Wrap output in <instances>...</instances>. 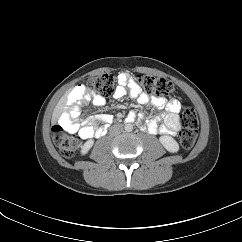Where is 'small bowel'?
Here are the masks:
<instances>
[{
    "label": "small bowel",
    "mask_w": 242,
    "mask_h": 242,
    "mask_svg": "<svg viewBox=\"0 0 242 242\" xmlns=\"http://www.w3.org/2000/svg\"><path fill=\"white\" fill-rule=\"evenodd\" d=\"M118 80L119 85L114 93L116 99H122L128 93L139 103L144 105L152 104L156 108L157 112H155L154 118L147 126L150 133L160 131L163 134L173 135L179 130L180 122L178 113L181 110V103L177 99L167 101L162 97L150 96L142 92L140 87L131 82L125 74H120ZM89 99V92L83 87H78L68 96V106L59 118V123L67 131L71 133L78 132L82 139H91L94 136L103 135L101 133L104 131V128L99 127V125L111 121V117L106 115H86L83 107ZM92 101L96 107H102L106 104V100L99 95L94 96ZM163 108L164 111H161ZM142 118L143 114L140 116V119ZM160 119H163L164 125L158 127V121Z\"/></svg>",
    "instance_id": "small-bowel-1"
}]
</instances>
